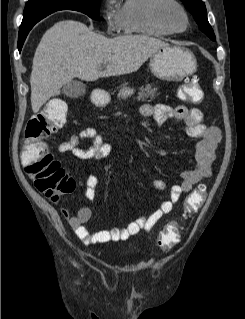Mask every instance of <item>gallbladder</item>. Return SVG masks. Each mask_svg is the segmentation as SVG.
Masks as SVG:
<instances>
[{
  "instance_id": "gallbladder-1",
  "label": "gallbladder",
  "mask_w": 245,
  "mask_h": 319,
  "mask_svg": "<svg viewBox=\"0 0 245 319\" xmlns=\"http://www.w3.org/2000/svg\"><path fill=\"white\" fill-rule=\"evenodd\" d=\"M62 92L68 97L78 98L86 93V88L82 82L72 80L63 86Z\"/></svg>"
}]
</instances>
